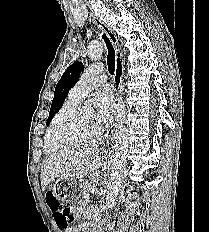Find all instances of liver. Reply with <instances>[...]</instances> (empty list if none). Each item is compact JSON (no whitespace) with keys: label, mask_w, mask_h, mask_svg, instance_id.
Here are the masks:
<instances>
[{"label":"liver","mask_w":209,"mask_h":232,"mask_svg":"<svg viewBox=\"0 0 209 232\" xmlns=\"http://www.w3.org/2000/svg\"><path fill=\"white\" fill-rule=\"evenodd\" d=\"M98 141L75 144L49 155L41 167V187L44 191L55 178L77 179L99 177L102 165Z\"/></svg>","instance_id":"6515ba94"}]
</instances>
